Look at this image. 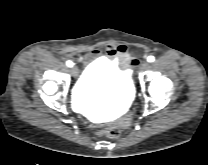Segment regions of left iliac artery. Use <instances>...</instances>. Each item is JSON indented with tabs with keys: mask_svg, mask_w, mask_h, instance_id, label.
Returning <instances> with one entry per match:
<instances>
[{
	"mask_svg": "<svg viewBox=\"0 0 208 165\" xmlns=\"http://www.w3.org/2000/svg\"><path fill=\"white\" fill-rule=\"evenodd\" d=\"M154 60H155L154 56H149V57L147 58V61H148V62H153Z\"/></svg>",
	"mask_w": 208,
	"mask_h": 165,
	"instance_id": "1",
	"label": "left iliac artery"
}]
</instances>
